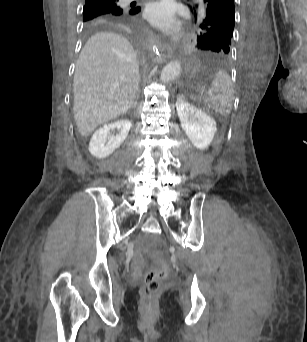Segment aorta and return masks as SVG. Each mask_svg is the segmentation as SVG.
<instances>
[{"label": "aorta", "mask_w": 307, "mask_h": 342, "mask_svg": "<svg viewBox=\"0 0 307 342\" xmlns=\"http://www.w3.org/2000/svg\"><path fill=\"white\" fill-rule=\"evenodd\" d=\"M181 70V64L178 62V60H174V62H170V64H167L165 68L162 70V74L160 76L161 82H164V84H167V82H170V80H174L176 76H178L179 72Z\"/></svg>", "instance_id": "obj_1"}]
</instances>
